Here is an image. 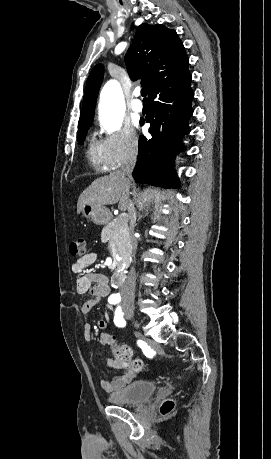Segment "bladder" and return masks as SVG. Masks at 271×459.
<instances>
[{
    "label": "bladder",
    "instance_id": "obj_1",
    "mask_svg": "<svg viewBox=\"0 0 271 459\" xmlns=\"http://www.w3.org/2000/svg\"><path fill=\"white\" fill-rule=\"evenodd\" d=\"M156 391V381L129 382L122 390L111 393L109 399L112 404L140 405Z\"/></svg>",
    "mask_w": 271,
    "mask_h": 459
}]
</instances>
